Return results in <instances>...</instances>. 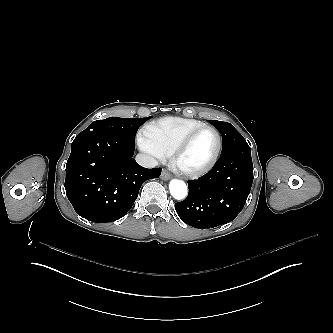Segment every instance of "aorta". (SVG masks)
<instances>
[{
    "label": "aorta",
    "mask_w": 333,
    "mask_h": 333,
    "mask_svg": "<svg viewBox=\"0 0 333 333\" xmlns=\"http://www.w3.org/2000/svg\"><path fill=\"white\" fill-rule=\"evenodd\" d=\"M170 194L175 200H184L188 195V188L184 181L172 180L169 185Z\"/></svg>",
    "instance_id": "762f6f07"
}]
</instances>
